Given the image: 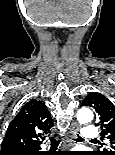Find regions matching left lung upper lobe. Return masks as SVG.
Instances as JSON below:
<instances>
[{
  "mask_svg": "<svg viewBox=\"0 0 115 155\" xmlns=\"http://www.w3.org/2000/svg\"><path fill=\"white\" fill-rule=\"evenodd\" d=\"M82 106L94 108L98 115L102 138L106 147L102 151H96L92 155H115V106L104 95L91 92L84 99Z\"/></svg>",
  "mask_w": 115,
  "mask_h": 155,
  "instance_id": "5c2ea615",
  "label": "left lung upper lobe"
}]
</instances>
